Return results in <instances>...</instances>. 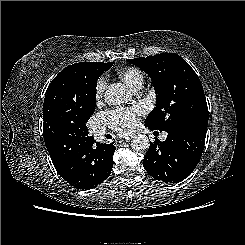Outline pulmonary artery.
Listing matches in <instances>:
<instances>
[{
    "label": "pulmonary artery",
    "mask_w": 245,
    "mask_h": 245,
    "mask_svg": "<svg viewBox=\"0 0 245 245\" xmlns=\"http://www.w3.org/2000/svg\"><path fill=\"white\" fill-rule=\"evenodd\" d=\"M95 135H96V137H101L102 135H103V130L102 129H98V130H96L95 131ZM167 137V134H163L162 135V139L164 140L165 138Z\"/></svg>",
    "instance_id": "e3ab8cb5"
}]
</instances>
